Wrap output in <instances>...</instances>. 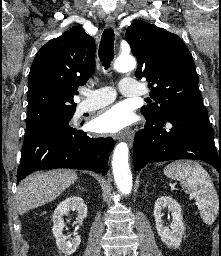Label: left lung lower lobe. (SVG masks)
Returning <instances> with one entry per match:
<instances>
[{"label": "left lung lower lobe", "mask_w": 221, "mask_h": 256, "mask_svg": "<svg viewBox=\"0 0 221 256\" xmlns=\"http://www.w3.org/2000/svg\"><path fill=\"white\" fill-rule=\"evenodd\" d=\"M146 120L134 140L135 170L152 162L195 159L211 164L221 174V151L215 147L207 112L172 111L160 120Z\"/></svg>", "instance_id": "left-lung-lower-lobe-1"}]
</instances>
